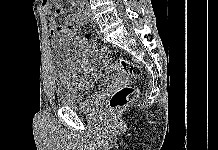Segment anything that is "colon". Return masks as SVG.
<instances>
[{"mask_svg":"<svg viewBox=\"0 0 218 150\" xmlns=\"http://www.w3.org/2000/svg\"><path fill=\"white\" fill-rule=\"evenodd\" d=\"M65 27L71 36H76L80 31L79 24L73 15L67 16L65 20ZM85 39L91 44H98L97 38L90 32L85 34ZM102 50L105 52L110 61L119 63L123 70L129 75L135 78L140 76V67L132 61L125 59L118 50H110L105 47H103ZM137 95L138 89L133 86L125 85L119 87L110 96L109 106L111 109H117L134 100Z\"/></svg>","mask_w":218,"mask_h":150,"instance_id":"5ec220e1","label":"colon"}]
</instances>
